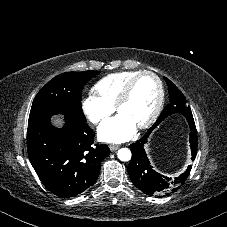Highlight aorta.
Segmentation results:
<instances>
[{
	"label": "aorta",
	"mask_w": 227,
	"mask_h": 227,
	"mask_svg": "<svg viewBox=\"0 0 227 227\" xmlns=\"http://www.w3.org/2000/svg\"><path fill=\"white\" fill-rule=\"evenodd\" d=\"M117 156L121 161L127 162L131 159V151L128 148H121L118 150Z\"/></svg>",
	"instance_id": "aorta-1"
}]
</instances>
